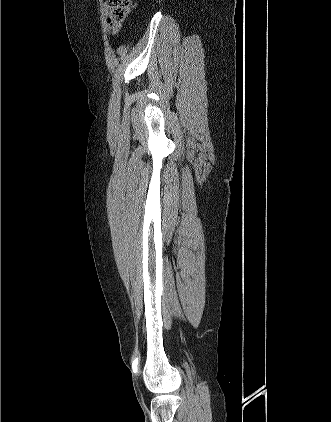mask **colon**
<instances>
[{
  "instance_id": "5ec220e1",
  "label": "colon",
  "mask_w": 331,
  "mask_h": 422,
  "mask_svg": "<svg viewBox=\"0 0 331 422\" xmlns=\"http://www.w3.org/2000/svg\"><path fill=\"white\" fill-rule=\"evenodd\" d=\"M106 4L110 12V19L122 23L131 10L132 0H106Z\"/></svg>"
}]
</instances>
